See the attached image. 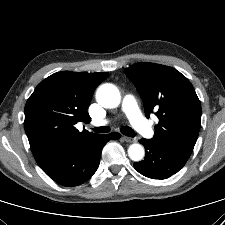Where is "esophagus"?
I'll list each match as a JSON object with an SVG mask.
<instances>
[{
  "label": "esophagus",
  "mask_w": 225,
  "mask_h": 225,
  "mask_svg": "<svg viewBox=\"0 0 225 225\" xmlns=\"http://www.w3.org/2000/svg\"><path fill=\"white\" fill-rule=\"evenodd\" d=\"M123 139H124V141H126L128 143L136 142V138H132V137L123 136Z\"/></svg>",
  "instance_id": "obj_1"
}]
</instances>
